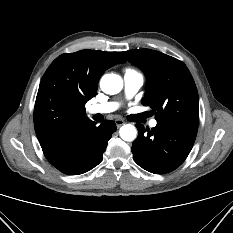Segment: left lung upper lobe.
<instances>
[{
  "mask_svg": "<svg viewBox=\"0 0 233 233\" xmlns=\"http://www.w3.org/2000/svg\"><path fill=\"white\" fill-rule=\"evenodd\" d=\"M123 54L146 74L142 103L151 107L157 123L198 127V92L183 62L150 49L129 50Z\"/></svg>",
  "mask_w": 233,
  "mask_h": 233,
  "instance_id": "5c2ea615",
  "label": "left lung upper lobe"
}]
</instances>
